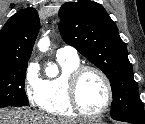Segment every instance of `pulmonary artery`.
<instances>
[{"label":"pulmonary artery","mask_w":145,"mask_h":124,"mask_svg":"<svg viewBox=\"0 0 145 124\" xmlns=\"http://www.w3.org/2000/svg\"><path fill=\"white\" fill-rule=\"evenodd\" d=\"M56 55L59 58H69V59L78 58L77 50L72 46H64L58 49Z\"/></svg>","instance_id":"1"}]
</instances>
